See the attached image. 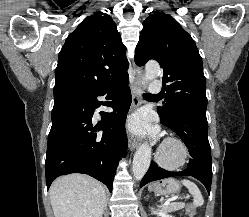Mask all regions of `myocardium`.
Here are the masks:
<instances>
[{
    "mask_svg": "<svg viewBox=\"0 0 249 217\" xmlns=\"http://www.w3.org/2000/svg\"><path fill=\"white\" fill-rule=\"evenodd\" d=\"M188 158V147L181 138L175 136L166 138L156 153L157 162L170 170L184 166Z\"/></svg>",
    "mask_w": 249,
    "mask_h": 217,
    "instance_id": "obj_1",
    "label": "myocardium"
}]
</instances>
